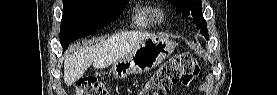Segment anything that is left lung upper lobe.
<instances>
[{
  "mask_svg": "<svg viewBox=\"0 0 277 95\" xmlns=\"http://www.w3.org/2000/svg\"><path fill=\"white\" fill-rule=\"evenodd\" d=\"M185 17L193 18L201 29L202 35L208 38L207 23L202 15V3L200 0H168Z\"/></svg>",
  "mask_w": 277,
  "mask_h": 95,
  "instance_id": "obj_1",
  "label": "left lung upper lobe"
}]
</instances>
